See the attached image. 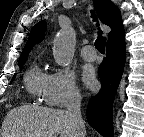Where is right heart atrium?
Here are the masks:
<instances>
[{
    "label": "right heart atrium",
    "mask_w": 144,
    "mask_h": 137,
    "mask_svg": "<svg viewBox=\"0 0 144 137\" xmlns=\"http://www.w3.org/2000/svg\"><path fill=\"white\" fill-rule=\"evenodd\" d=\"M80 91L73 71L61 68L48 75L43 91L44 102L52 107H66L80 100Z\"/></svg>",
    "instance_id": "right-heart-atrium-1"
}]
</instances>
